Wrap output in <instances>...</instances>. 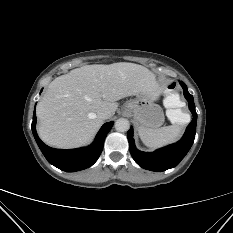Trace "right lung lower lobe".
I'll return each instance as SVG.
<instances>
[{
  "instance_id": "right-lung-lower-lobe-1",
  "label": "right lung lower lobe",
  "mask_w": 233,
  "mask_h": 233,
  "mask_svg": "<svg viewBox=\"0 0 233 233\" xmlns=\"http://www.w3.org/2000/svg\"><path fill=\"white\" fill-rule=\"evenodd\" d=\"M35 123L36 115L34 111L32 132L40 150L49 163L66 172L79 171L92 166L99 158L103 150L105 137L114 124L113 121L104 124L97 134L95 141L89 147L58 150L48 147L39 139L35 130Z\"/></svg>"
}]
</instances>
